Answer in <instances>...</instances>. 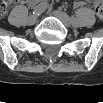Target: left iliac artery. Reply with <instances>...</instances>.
I'll list each match as a JSON object with an SVG mask.
<instances>
[{"label":"left iliac artery","instance_id":"44dca946","mask_svg":"<svg viewBox=\"0 0 103 103\" xmlns=\"http://www.w3.org/2000/svg\"><path fill=\"white\" fill-rule=\"evenodd\" d=\"M71 22L76 25L78 23L77 18H75L74 16L71 17Z\"/></svg>","mask_w":103,"mask_h":103}]
</instances>
